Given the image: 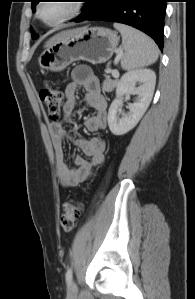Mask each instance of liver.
Instances as JSON below:
<instances>
[{"instance_id": "obj_1", "label": "liver", "mask_w": 195, "mask_h": 299, "mask_svg": "<svg viewBox=\"0 0 195 299\" xmlns=\"http://www.w3.org/2000/svg\"><path fill=\"white\" fill-rule=\"evenodd\" d=\"M69 31H64L61 33L56 34L55 36H53L52 38H50L46 43H45V47H49L51 45H53L54 43H56L58 40H60L64 35L68 34Z\"/></svg>"}]
</instances>
